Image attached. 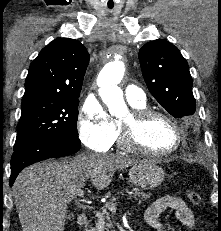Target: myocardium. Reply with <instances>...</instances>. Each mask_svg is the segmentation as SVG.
Returning a JSON list of instances; mask_svg holds the SVG:
<instances>
[{"label": "myocardium", "mask_w": 221, "mask_h": 231, "mask_svg": "<svg viewBox=\"0 0 221 231\" xmlns=\"http://www.w3.org/2000/svg\"><path fill=\"white\" fill-rule=\"evenodd\" d=\"M154 118L167 121L175 130L176 143L167 151L157 152L146 148L141 141V134L145 124ZM120 143L128 151L139 152L154 157H167L175 153L182 144L183 132L178 122L169 114L151 108L133 109L125 120L119 123Z\"/></svg>", "instance_id": "1"}]
</instances>
